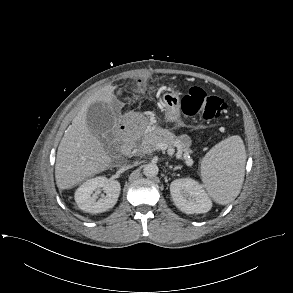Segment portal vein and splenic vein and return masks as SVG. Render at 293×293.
Returning a JSON list of instances; mask_svg holds the SVG:
<instances>
[{
    "mask_svg": "<svg viewBox=\"0 0 293 293\" xmlns=\"http://www.w3.org/2000/svg\"><path fill=\"white\" fill-rule=\"evenodd\" d=\"M157 148L160 149V150H166L168 148V145L166 143H158L157 144ZM180 151L177 153L178 156H180ZM184 158H189V154L188 153H184Z\"/></svg>",
    "mask_w": 293,
    "mask_h": 293,
    "instance_id": "portal-vein-and-splenic-vein-1",
    "label": "portal vein and splenic vein"
}]
</instances>
